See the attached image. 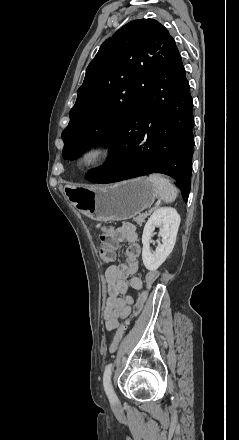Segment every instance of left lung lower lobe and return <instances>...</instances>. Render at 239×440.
<instances>
[{"instance_id": "0a47b994", "label": "left lung lower lobe", "mask_w": 239, "mask_h": 440, "mask_svg": "<svg viewBox=\"0 0 239 440\" xmlns=\"http://www.w3.org/2000/svg\"><path fill=\"white\" fill-rule=\"evenodd\" d=\"M192 106L189 83L176 47L109 143L111 155L106 164L86 179L104 184L162 173L178 181L187 201L194 147Z\"/></svg>"}]
</instances>
